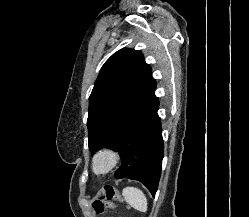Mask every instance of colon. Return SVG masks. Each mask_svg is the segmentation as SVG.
Masks as SVG:
<instances>
[{
    "instance_id": "1",
    "label": "colon",
    "mask_w": 249,
    "mask_h": 217,
    "mask_svg": "<svg viewBox=\"0 0 249 217\" xmlns=\"http://www.w3.org/2000/svg\"><path fill=\"white\" fill-rule=\"evenodd\" d=\"M113 201L122 202L123 198L116 188L106 186L101 194L93 200L92 206L96 212H103L114 208Z\"/></svg>"
}]
</instances>
